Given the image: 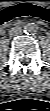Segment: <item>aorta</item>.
<instances>
[{"mask_svg":"<svg viewBox=\"0 0 50 111\" xmlns=\"http://www.w3.org/2000/svg\"><path fill=\"white\" fill-rule=\"evenodd\" d=\"M38 31V26L35 23H27L24 26V32L29 35L36 34Z\"/></svg>","mask_w":50,"mask_h":111,"instance_id":"762f6f07","label":"aorta"}]
</instances>
